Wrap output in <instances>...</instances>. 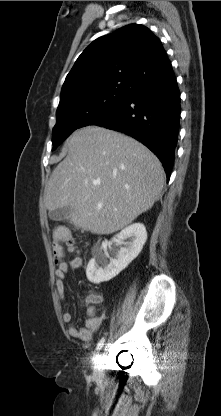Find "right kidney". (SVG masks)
I'll use <instances>...</instances> for the list:
<instances>
[{
	"label": "right kidney",
	"mask_w": 221,
	"mask_h": 416,
	"mask_svg": "<svg viewBox=\"0 0 221 416\" xmlns=\"http://www.w3.org/2000/svg\"><path fill=\"white\" fill-rule=\"evenodd\" d=\"M127 238L130 242H124ZM146 240L147 232L142 223H134L123 229L116 238L112 239V242H120L125 247L120 248L116 258H109L105 248L102 247L99 253L88 262L86 268L88 280L99 284L114 278L138 256Z\"/></svg>",
	"instance_id": "obj_1"
}]
</instances>
